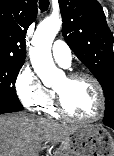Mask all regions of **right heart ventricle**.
<instances>
[{"label": "right heart ventricle", "mask_w": 114, "mask_h": 156, "mask_svg": "<svg viewBox=\"0 0 114 156\" xmlns=\"http://www.w3.org/2000/svg\"><path fill=\"white\" fill-rule=\"evenodd\" d=\"M42 110L48 114L49 116L52 117H58V113L56 111V107L54 104V95H52V98L50 99V101L42 108Z\"/></svg>", "instance_id": "e07e8e85"}]
</instances>
